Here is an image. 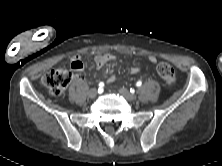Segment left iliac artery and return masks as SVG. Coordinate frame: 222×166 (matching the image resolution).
Listing matches in <instances>:
<instances>
[{
  "instance_id": "left-iliac-artery-1",
  "label": "left iliac artery",
  "mask_w": 222,
  "mask_h": 166,
  "mask_svg": "<svg viewBox=\"0 0 222 166\" xmlns=\"http://www.w3.org/2000/svg\"><path fill=\"white\" fill-rule=\"evenodd\" d=\"M142 85V82L141 81H138L137 83H136V86L137 87H140Z\"/></svg>"
}]
</instances>
